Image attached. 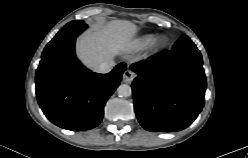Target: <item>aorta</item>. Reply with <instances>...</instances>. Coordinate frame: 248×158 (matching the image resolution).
I'll return each instance as SVG.
<instances>
[{
  "mask_svg": "<svg viewBox=\"0 0 248 158\" xmlns=\"http://www.w3.org/2000/svg\"><path fill=\"white\" fill-rule=\"evenodd\" d=\"M118 95L120 97H129L132 94V89L129 85L127 84H121L118 89Z\"/></svg>",
  "mask_w": 248,
  "mask_h": 158,
  "instance_id": "aorta-1",
  "label": "aorta"
}]
</instances>
